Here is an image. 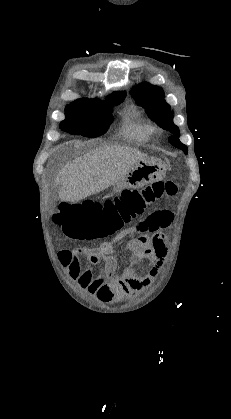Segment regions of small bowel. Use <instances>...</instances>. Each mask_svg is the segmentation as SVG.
I'll use <instances>...</instances> for the list:
<instances>
[{"label": "small bowel", "instance_id": "obj_1", "mask_svg": "<svg viewBox=\"0 0 231 419\" xmlns=\"http://www.w3.org/2000/svg\"><path fill=\"white\" fill-rule=\"evenodd\" d=\"M172 220L170 211L153 213L96 248L61 251L64 252L60 257L61 264L80 288L101 302L112 303L134 296L147 289L164 266L169 244L159 229L168 227ZM129 237L132 238L126 244V250L130 253V265L119 271L113 252ZM141 262L149 268L145 275L133 267ZM99 264L101 268L95 275L90 266Z\"/></svg>", "mask_w": 231, "mask_h": 419}]
</instances>
